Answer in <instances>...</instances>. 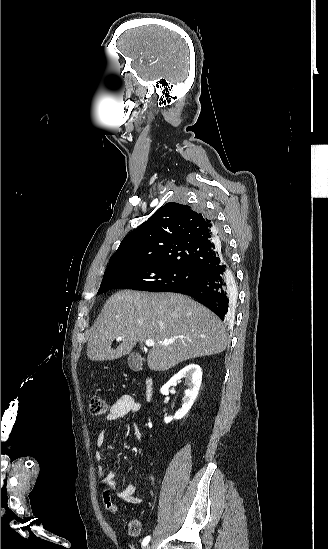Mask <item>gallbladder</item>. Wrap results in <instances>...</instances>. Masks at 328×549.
Instances as JSON below:
<instances>
[{"label": "gallbladder", "instance_id": "gallbladder-1", "mask_svg": "<svg viewBox=\"0 0 328 549\" xmlns=\"http://www.w3.org/2000/svg\"><path fill=\"white\" fill-rule=\"evenodd\" d=\"M127 363L132 371H142L143 369L142 359L138 353H131L128 357Z\"/></svg>", "mask_w": 328, "mask_h": 549}]
</instances>
